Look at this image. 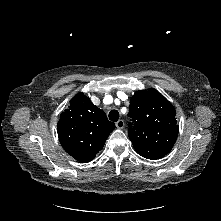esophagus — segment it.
Segmentation results:
<instances>
[{
    "label": "esophagus",
    "mask_w": 221,
    "mask_h": 221,
    "mask_svg": "<svg viewBox=\"0 0 221 221\" xmlns=\"http://www.w3.org/2000/svg\"><path fill=\"white\" fill-rule=\"evenodd\" d=\"M116 127H117L118 129H122V128L124 127V121H123V120H118V121L116 122Z\"/></svg>",
    "instance_id": "obj_1"
}]
</instances>
